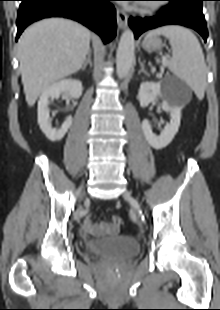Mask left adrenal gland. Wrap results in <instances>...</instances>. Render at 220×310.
Segmentation results:
<instances>
[{
    "label": "left adrenal gland",
    "instance_id": "a2214340",
    "mask_svg": "<svg viewBox=\"0 0 220 310\" xmlns=\"http://www.w3.org/2000/svg\"><path fill=\"white\" fill-rule=\"evenodd\" d=\"M141 69L139 70L138 74L144 73L146 75H148L147 71H145L144 69V63H140Z\"/></svg>",
    "mask_w": 220,
    "mask_h": 310
}]
</instances>
